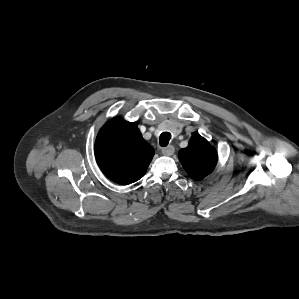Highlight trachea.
I'll list each match as a JSON object with an SVG mask.
<instances>
[{
	"label": "trachea",
	"instance_id": "3493384b",
	"mask_svg": "<svg viewBox=\"0 0 299 299\" xmlns=\"http://www.w3.org/2000/svg\"><path fill=\"white\" fill-rule=\"evenodd\" d=\"M171 139V134L168 132H164L160 135L159 142L161 147H165L168 145Z\"/></svg>",
	"mask_w": 299,
	"mask_h": 299
}]
</instances>
